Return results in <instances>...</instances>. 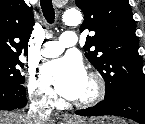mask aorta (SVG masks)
I'll return each instance as SVG.
<instances>
[{"instance_id": "obj_1", "label": "aorta", "mask_w": 145, "mask_h": 124, "mask_svg": "<svg viewBox=\"0 0 145 124\" xmlns=\"http://www.w3.org/2000/svg\"><path fill=\"white\" fill-rule=\"evenodd\" d=\"M63 19L66 25L76 26L81 23L82 15L78 10L70 9L64 13Z\"/></svg>"}]
</instances>
